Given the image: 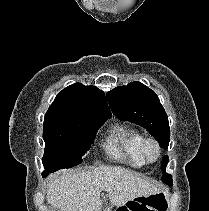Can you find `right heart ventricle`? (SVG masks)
I'll return each instance as SVG.
<instances>
[{
	"mask_svg": "<svg viewBox=\"0 0 209 211\" xmlns=\"http://www.w3.org/2000/svg\"><path fill=\"white\" fill-rule=\"evenodd\" d=\"M143 139L137 128L117 123L110 128L103 147L113 160L140 168L146 163L140 150Z\"/></svg>",
	"mask_w": 209,
	"mask_h": 211,
	"instance_id": "obj_1",
	"label": "right heart ventricle"
}]
</instances>
